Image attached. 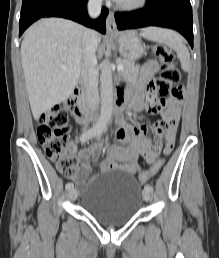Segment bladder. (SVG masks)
Wrapping results in <instances>:
<instances>
[{
	"label": "bladder",
	"instance_id": "1",
	"mask_svg": "<svg viewBox=\"0 0 219 258\" xmlns=\"http://www.w3.org/2000/svg\"><path fill=\"white\" fill-rule=\"evenodd\" d=\"M81 206L104 225L126 224L142 206L140 185L134 177L119 170L98 173L87 185Z\"/></svg>",
	"mask_w": 219,
	"mask_h": 258
}]
</instances>
